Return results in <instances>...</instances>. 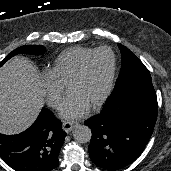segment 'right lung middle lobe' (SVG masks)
Returning a JSON list of instances; mask_svg holds the SVG:
<instances>
[{"instance_id": "1", "label": "right lung middle lobe", "mask_w": 171, "mask_h": 171, "mask_svg": "<svg viewBox=\"0 0 171 171\" xmlns=\"http://www.w3.org/2000/svg\"><path fill=\"white\" fill-rule=\"evenodd\" d=\"M45 51V48L42 45H25L21 46L14 51H12L9 55H7L1 62L0 66L3 65L7 60L11 57L19 54V53H26V54H36L40 55Z\"/></svg>"}]
</instances>
